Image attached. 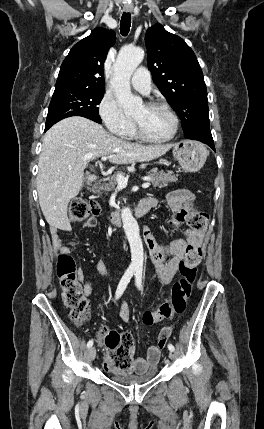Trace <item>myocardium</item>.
<instances>
[{"instance_id": "obj_1", "label": "myocardium", "mask_w": 264, "mask_h": 429, "mask_svg": "<svg viewBox=\"0 0 264 429\" xmlns=\"http://www.w3.org/2000/svg\"><path fill=\"white\" fill-rule=\"evenodd\" d=\"M145 106L151 109H161L166 111L173 120V130L171 134L165 138H161V139L152 138L145 133L140 123L136 119H134L136 135L143 141H146L149 143H155V144L166 143L174 139L179 130V118L177 114L174 112V110L168 104L159 102V101L147 102Z\"/></svg>"}]
</instances>
